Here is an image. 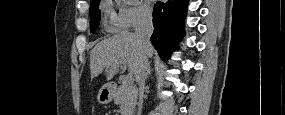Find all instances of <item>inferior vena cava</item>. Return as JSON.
I'll return each mask as SVG.
<instances>
[{"instance_id":"602c4592","label":"inferior vena cava","mask_w":285,"mask_h":115,"mask_svg":"<svg viewBox=\"0 0 285 115\" xmlns=\"http://www.w3.org/2000/svg\"><path fill=\"white\" fill-rule=\"evenodd\" d=\"M152 33H153L152 15L143 14L136 25L134 33V36L141 44L144 52L140 66L135 74V78L139 86L137 94L139 95L140 99L137 100L138 105L134 115H139L141 113V110H144L145 106V103L142 102V99L145 90V80H146V72H147L148 57H149L148 50L151 47L150 37Z\"/></svg>"}]
</instances>
